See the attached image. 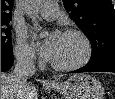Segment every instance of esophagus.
<instances>
[{"mask_svg": "<svg viewBox=\"0 0 115 99\" xmlns=\"http://www.w3.org/2000/svg\"><path fill=\"white\" fill-rule=\"evenodd\" d=\"M49 83L53 82L52 80H48Z\"/></svg>", "mask_w": 115, "mask_h": 99, "instance_id": "1", "label": "esophagus"}]
</instances>
